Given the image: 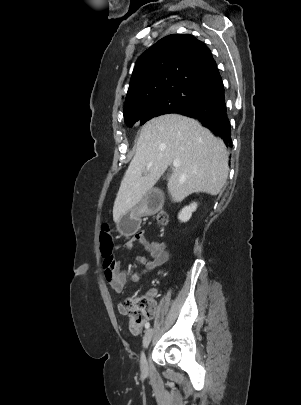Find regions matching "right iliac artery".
<instances>
[{
	"label": "right iliac artery",
	"instance_id": "82829eb1",
	"mask_svg": "<svg viewBox=\"0 0 301 405\" xmlns=\"http://www.w3.org/2000/svg\"><path fill=\"white\" fill-rule=\"evenodd\" d=\"M149 327H150V324L147 322V323L145 324V328L148 329Z\"/></svg>",
	"mask_w": 301,
	"mask_h": 405
}]
</instances>
